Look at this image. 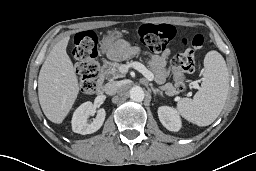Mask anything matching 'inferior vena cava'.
<instances>
[{
	"label": "inferior vena cava",
	"mask_w": 256,
	"mask_h": 171,
	"mask_svg": "<svg viewBox=\"0 0 256 171\" xmlns=\"http://www.w3.org/2000/svg\"><path fill=\"white\" fill-rule=\"evenodd\" d=\"M119 86L116 82H108L104 86V91L107 95H114L117 93Z\"/></svg>",
	"instance_id": "1"
}]
</instances>
